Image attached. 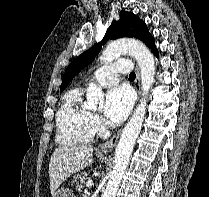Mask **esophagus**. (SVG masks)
Returning a JSON list of instances; mask_svg holds the SVG:
<instances>
[{
  "label": "esophagus",
  "instance_id": "34e87169",
  "mask_svg": "<svg viewBox=\"0 0 209 197\" xmlns=\"http://www.w3.org/2000/svg\"><path fill=\"white\" fill-rule=\"evenodd\" d=\"M135 72H136V79L134 82V87L137 91V95H138V100L140 98L141 95V91H140V71L138 66L136 65L135 67ZM121 134V130H119L110 140H108L107 142L103 143L102 145L99 146V151L107 153V152H111L114 147L116 146L118 139L120 137Z\"/></svg>",
  "mask_w": 209,
  "mask_h": 197
}]
</instances>
